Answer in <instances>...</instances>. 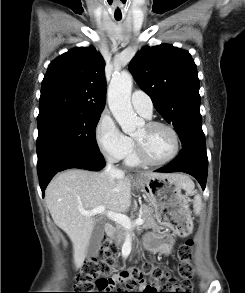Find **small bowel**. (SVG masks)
Wrapping results in <instances>:
<instances>
[{
	"label": "small bowel",
	"instance_id": "1",
	"mask_svg": "<svg viewBox=\"0 0 245 293\" xmlns=\"http://www.w3.org/2000/svg\"><path fill=\"white\" fill-rule=\"evenodd\" d=\"M161 239H162V244H161L160 250L163 254H168L170 250V245L172 242V237L170 234L165 233L162 235Z\"/></svg>",
	"mask_w": 245,
	"mask_h": 293
}]
</instances>
